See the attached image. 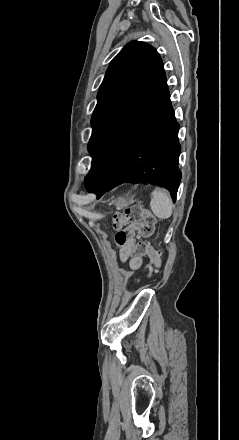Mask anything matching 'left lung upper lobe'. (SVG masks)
I'll return each mask as SVG.
<instances>
[{"mask_svg": "<svg viewBox=\"0 0 239 440\" xmlns=\"http://www.w3.org/2000/svg\"><path fill=\"white\" fill-rule=\"evenodd\" d=\"M162 72L160 55L145 42L132 41L117 54L100 86L98 103L91 118L93 132L88 144L91 154Z\"/></svg>", "mask_w": 239, "mask_h": 440, "instance_id": "1", "label": "left lung upper lobe"}]
</instances>
